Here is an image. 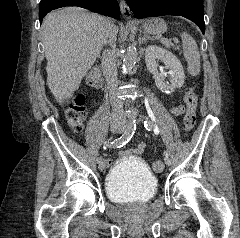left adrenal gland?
<instances>
[{"label":"left adrenal gland","mask_w":240,"mask_h":238,"mask_svg":"<svg viewBox=\"0 0 240 238\" xmlns=\"http://www.w3.org/2000/svg\"><path fill=\"white\" fill-rule=\"evenodd\" d=\"M147 40H152V38L149 35H147L146 33H144L143 38H142V43L146 42Z\"/></svg>","instance_id":"1"}]
</instances>
